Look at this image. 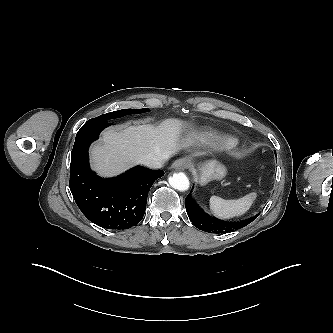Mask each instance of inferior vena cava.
Listing matches in <instances>:
<instances>
[{
  "label": "inferior vena cava",
  "instance_id": "inferior-vena-cava-1",
  "mask_svg": "<svg viewBox=\"0 0 333 333\" xmlns=\"http://www.w3.org/2000/svg\"><path fill=\"white\" fill-rule=\"evenodd\" d=\"M165 160L166 158H144L140 163L151 169H159L163 166Z\"/></svg>",
  "mask_w": 333,
  "mask_h": 333
}]
</instances>
